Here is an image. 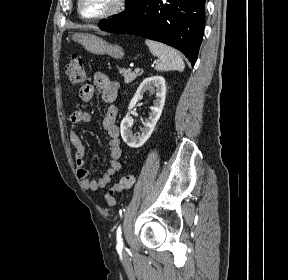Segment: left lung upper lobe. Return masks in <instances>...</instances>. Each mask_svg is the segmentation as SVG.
I'll use <instances>...</instances> for the list:
<instances>
[{"label": "left lung upper lobe", "instance_id": "obj_1", "mask_svg": "<svg viewBox=\"0 0 288 280\" xmlns=\"http://www.w3.org/2000/svg\"><path fill=\"white\" fill-rule=\"evenodd\" d=\"M134 2H135V0H127V1L125 2V7H126V8L129 7V6L132 5Z\"/></svg>", "mask_w": 288, "mask_h": 280}]
</instances>
